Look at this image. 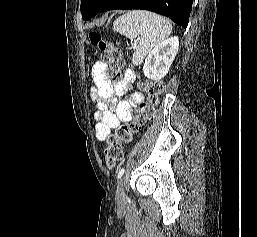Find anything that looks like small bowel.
I'll return each mask as SVG.
<instances>
[{
	"mask_svg": "<svg viewBox=\"0 0 257 237\" xmlns=\"http://www.w3.org/2000/svg\"><path fill=\"white\" fill-rule=\"evenodd\" d=\"M107 65L102 61L94 63L91 71L94 87L91 90V99L96 103V138L103 142L111 130L121 122L132 119L133 108L144 100L141 92H133L126 100H118L127 90V85L133 82L135 75L127 71L122 81L112 83L106 74Z\"/></svg>",
	"mask_w": 257,
	"mask_h": 237,
	"instance_id": "1",
	"label": "small bowel"
}]
</instances>
